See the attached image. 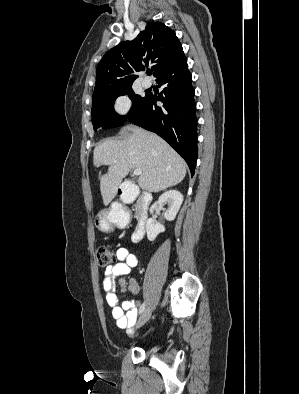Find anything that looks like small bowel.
Masks as SVG:
<instances>
[{"mask_svg":"<svg viewBox=\"0 0 299 394\" xmlns=\"http://www.w3.org/2000/svg\"><path fill=\"white\" fill-rule=\"evenodd\" d=\"M116 258L118 262L105 269L102 277V286L106 294V301L112 308L111 314L116 321L117 327L131 332L137 319L140 301L132 299L118 305L116 280L120 276L128 275L131 269L138 265V257L127 247L120 246L116 250ZM128 291L131 295L137 296L140 293L138 283L131 281L128 285Z\"/></svg>","mask_w":299,"mask_h":394,"instance_id":"obj_1","label":"small bowel"}]
</instances>
